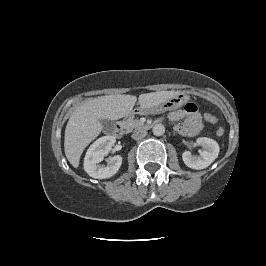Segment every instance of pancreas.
Returning <instances> with one entry per match:
<instances>
[{"label":"pancreas","mask_w":266,"mask_h":266,"mask_svg":"<svg viewBox=\"0 0 266 266\" xmlns=\"http://www.w3.org/2000/svg\"><path fill=\"white\" fill-rule=\"evenodd\" d=\"M126 123L128 130L142 126V123L137 119H129Z\"/></svg>","instance_id":"cf45deb5"}]
</instances>
